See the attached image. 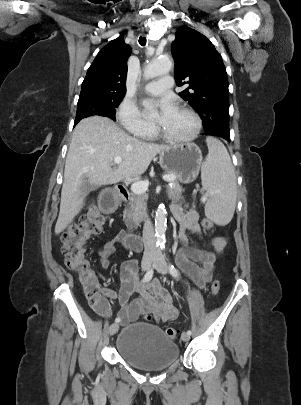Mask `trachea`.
Listing matches in <instances>:
<instances>
[{
	"instance_id": "1",
	"label": "trachea",
	"mask_w": 301,
	"mask_h": 405,
	"mask_svg": "<svg viewBox=\"0 0 301 405\" xmlns=\"http://www.w3.org/2000/svg\"><path fill=\"white\" fill-rule=\"evenodd\" d=\"M146 42H147L146 37H142V36L139 37V44L141 46H145Z\"/></svg>"
}]
</instances>
